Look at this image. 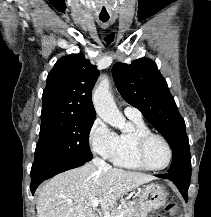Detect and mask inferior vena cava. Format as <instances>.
Here are the masks:
<instances>
[{"mask_svg": "<svg viewBox=\"0 0 211 217\" xmlns=\"http://www.w3.org/2000/svg\"><path fill=\"white\" fill-rule=\"evenodd\" d=\"M92 163H93L98 169H103V168H105V167L108 166V164H107L104 160H102V159H100V158H98V157L94 158V159L92 160Z\"/></svg>", "mask_w": 211, "mask_h": 217, "instance_id": "obj_1", "label": "inferior vena cava"}]
</instances>
